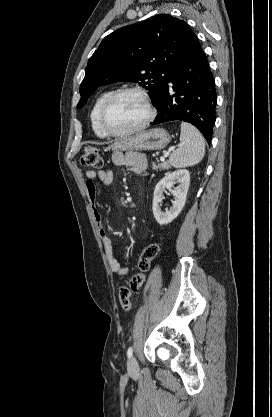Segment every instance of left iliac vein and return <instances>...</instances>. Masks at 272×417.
<instances>
[{
	"label": "left iliac vein",
	"instance_id": "4c4485c4",
	"mask_svg": "<svg viewBox=\"0 0 272 417\" xmlns=\"http://www.w3.org/2000/svg\"><path fill=\"white\" fill-rule=\"evenodd\" d=\"M127 368H128V371L130 373H135V372L138 371V363H137V360L135 359V357H131L128 360Z\"/></svg>",
	"mask_w": 272,
	"mask_h": 417
}]
</instances>
